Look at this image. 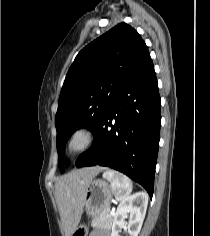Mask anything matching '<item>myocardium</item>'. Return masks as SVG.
<instances>
[{
  "mask_svg": "<svg viewBox=\"0 0 210 236\" xmlns=\"http://www.w3.org/2000/svg\"><path fill=\"white\" fill-rule=\"evenodd\" d=\"M95 132L87 124H81L69 134L65 148L69 155H75L88 149L94 142Z\"/></svg>",
  "mask_w": 210,
  "mask_h": 236,
  "instance_id": "f54148a6",
  "label": "myocardium"
}]
</instances>
